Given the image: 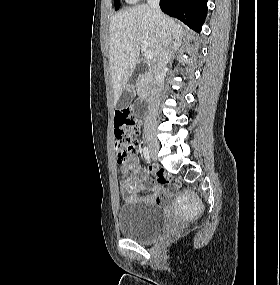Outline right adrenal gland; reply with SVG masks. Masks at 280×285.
<instances>
[{"label": "right adrenal gland", "instance_id": "right-adrenal-gland-1", "mask_svg": "<svg viewBox=\"0 0 280 285\" xmlns=\"http://www.w3.org/2000/svg\"><path fill=\"white\" fill-rule=\"evenodd\" d=\"M181 45H182L181 39L177 40L175 43H173L172 52H171V57L172 58H174L175 52L180 49Z\"/></svg>", "mask_w": 280, "mask_h": 285}]
</instances>
